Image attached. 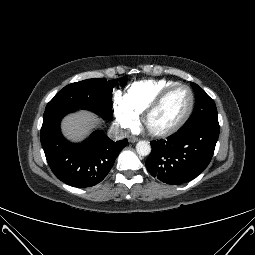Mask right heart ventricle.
Returning a JSON list of instances; mask_svg holds the SVG:
<instances>
[{"label": "right heart ventricle", "mask_w": 255, "mask_h": 255, "mask_svg": "<svg viewBox=\"0 0 255 255\" xmlns=\"http://www.w3.org/2000/svg\"><path fill=\"white\" fill-rule=\"evenodd\" d=\"M177 84L169 80H146L132 83L122 99L138 115L143 113L154 98L166 88Z\"/></svg>", "instance_id": "e07e8e85"}]
</instances>
